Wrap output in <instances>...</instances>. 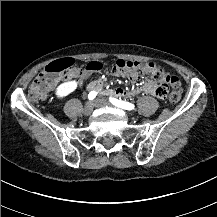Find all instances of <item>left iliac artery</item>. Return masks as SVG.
I'll return each mask as SVG.
<instances>
[{"instance_id": "44dca946", "label": "left iliac artery", "mask_w": 217, "mask_h": 217, "mask_svg": "<svg viewBox=\"0 0 217 217\" xmlns=\"http://www.w3.org/2000/svg\"><path fill=\"white\" fill-rule=\"evenodd\" d=\"M109 99L112 104L122 109H125V110H133L135 107L134 104L129 103V102H125V101L118 100V99L111 98V97Z\"/></svg>"}]
</instances>
